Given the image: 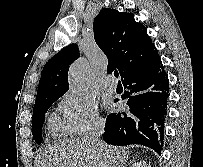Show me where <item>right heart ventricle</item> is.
<instances>
[{"label":"right heart ventricle","mask_w":203,"mask_h":167,"mask_svg":"<svg viewBox=\"0 0 203 167\" xmlns=\"http://www.w3.org/2000/svg\"><path fill=\"white\" fill-rule=\"evenodd\" d=\"M48 130L54 137H61L68 133L63 125V122H61L55 115H52L49 119Z\"/></svg>","instance_id":"1"}]
</instances>
